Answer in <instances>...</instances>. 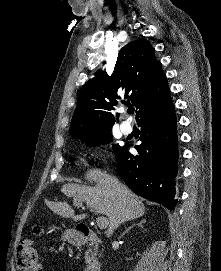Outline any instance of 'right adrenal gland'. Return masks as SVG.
Segmentation results:
<instances>
[{
  "mask_svg": "<svg viewBox=\"0 0 221 271\" xmlns=\"http://www.w3.org/2000/svg\"><path fill=\"white\" fill-rule=\"evenodd\" d=\"M143 223H146V219H141L140 223H132V225H130V227H128V229H126V231H129V229H131V227H133V225H140V227H143ZM125 231V233H126Z\"/></svg>",
  "mask_w": 221,
  "mask_h": 271,
  "instance_id": "obj_1",
  "label": "right adrenal gland"
}]
</instances>
